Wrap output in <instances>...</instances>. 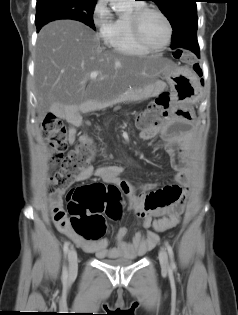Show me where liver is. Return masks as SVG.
Masks as SVG:
<instances>
[{
    "label": "liver",
    "mask_w": 238,
    "mask_h": 315,
    "mask_svg": "<svg viewBox=\"0 0 238 315\" xmlns=\"http://www.w3.org/2000/svg\"><path fill=\"white\" fill-rule=\"evenodd\" d=\"M166 67L160 56L131 57L102 47L94 31L81 22H50L39 32L36 45L38 121L48 112L64 117L86 102L104 103L129 87L144 88ZM93 71L98 72L96 79H90Z\"/></svg>",
    "instance_id": "liver-1"
}]
</instances>
